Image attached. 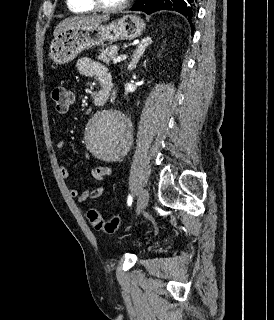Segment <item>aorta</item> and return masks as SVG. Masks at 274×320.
<instances>
[{
    "label": "aorta",
    "instance_id": "aorta-1",
    "mask_svg": "<svg viewBox=\"0 0 274 320\" xmlns=\"http://www.w3.org/2000/svg\"><path fill=\"white\" fill-rule=\"evenodd\" d=\"M132 125L119 110L105 109L96 112L85 131V144L93 156L114 161L127 151L132 140Z\"/></svg>",
    "mask_w": 274,
    "mask_h": 320
}]
</instances>
